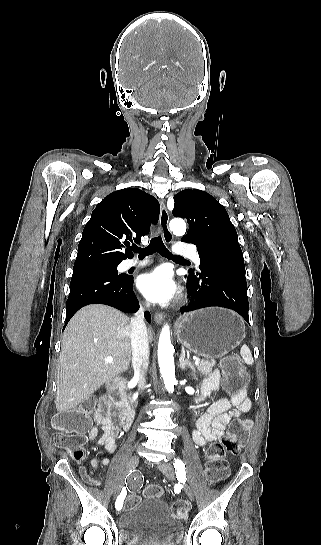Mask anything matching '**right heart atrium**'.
Segmentation results:
<instances>
[{
	"label": "right heart atrium",
	"mask_w": 321,
	"mask_h": 545,
	"mask_svg": "<svg viewBox=\"0 0 321 545\" xmlns=\"http://www.w3.org/2000/svg\"><path fill=\"white\" fill-rule=\"evenodd\" d=\"M141 307L142 308H147V306L145 304H142Z\"/></svg>",
	"instance_id": "1"
}]
</instances>
